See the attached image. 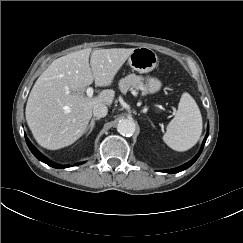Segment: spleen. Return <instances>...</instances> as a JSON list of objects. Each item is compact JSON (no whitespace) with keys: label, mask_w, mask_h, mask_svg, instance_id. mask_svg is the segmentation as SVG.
Listing matches in <instances>:
<instances>
[{"label":"spleen","mask_w":243,"mask_h":243,"mask_svg":"<svg viewBox=\"0 0 243 243\" xmlns=\"http://www.w3.org/2000/svg\"><path fill=\"white\" fill-rule=\"evenodd\" d=\"M201 133L202 117L198 105L189 93L184 92L163 141L175 151H187L198 142Z\"/></svg>","instance_id":"1"}]
</instances>
